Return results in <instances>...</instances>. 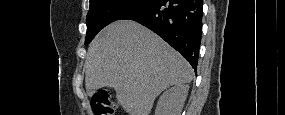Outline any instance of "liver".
Listing matches in <instances>:
<instances>
[{"label": "liver", "instance_id": "liver-1", "mask_svg": "<svg viewBox=\"0 0 285 115\" xmlns=\"http://www.w3.org/2000/svg\"><path fill=\"white\" fill-rule=\"evenodd\" d=\"M84 68L87 94L114 88L117 102L129 115H149L163 90L189 83L194 76L185 58L131 20L113 22L97 35Z\"/></svg>", "mask_w": 285, "mask_h": 115}]
</instances>
